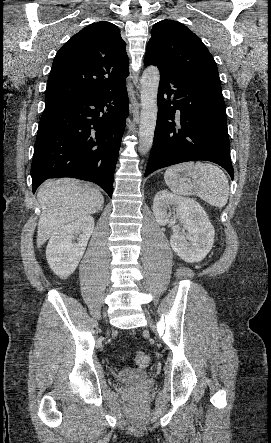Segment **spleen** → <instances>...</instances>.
<instances>
[{"label": "spleen", "mask_w": 271, "mask_h": 443, "mask_svg": "<svg viewBox=\"0 0 271 443\" xmlns=\"http://www.w3.org/2000/svg\"><path fill=\"white\" fill-rule=\"evenodd\" d=\"M180 174H184V178ZM188 178H193V182H186ZM164 180L176 196H198L215 208H223L228 202V180L224 172L213 164H177L166 170Z\"/></svg>", "instance_id": "obj_1"}]
</instances>
